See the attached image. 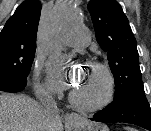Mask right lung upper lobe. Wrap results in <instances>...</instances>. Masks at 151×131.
I'll return each mask as SVG.
<instances>
[{
    "mask_svg": "<svg viewBox=\"0 0 151 131\" xmlns=\"http://www.w3.org/2000/svg\"><path fill=\"white\" fill-rule=\"evenodd\" d=\"M41 14L39 0H25L8 19L0 33V45L18 42L36 48V35Z\"/></svg>",
    "mask_w": 151,
    "mask_h": 131,
    "instance_id": "obj_1",
    "label": "right lung upper lobe"
}]
</instances>
